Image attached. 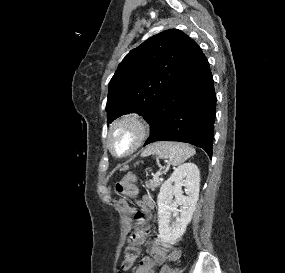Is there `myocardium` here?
<instances>
[{
	"instance_id": "obj_1",
	"label": "myocardium",
	"mask_w": 285,
	"mask_h": 273,
	"mask_svg": "<svg viewBox=\"0 0 285 273\" xmlns=\"http://www.w3.org/2000/svg\"><path fill=\"white\" fill-rule=\"evenodd\" d=\"M131 125L135 130V138L131 146L123 153H118L115 151L113 146V136L116 131L123 125ZM149 124L148 122L136 113H127L116 118L109 126L106 135V145L110 153L118 158H125L131 156L136 152L146 141L149 135Z\"/></svg>"
}]
</instances>
